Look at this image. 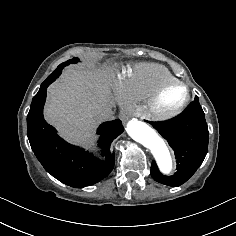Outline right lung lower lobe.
<instances>
[{
    "instance_id": "right-lung-lower-lobe-1",
    "label": "right lung lower lobe",
    "mask_w": 236,
    "mask_h": 236,
    "mask_svg": "<svg viewBox=\"0 0 236 236\" xmlns=\"http://www.w3.org/2000/svg\"><path fill=\"white\" fill-rule=\"evenodd\" d=\"M46 79L34 96L27 116V135L31 148L45 170L62 183L75 188L90 186L104 179L114 167V152H110L113 140L123 132L122 122L116 119L98 128V146L101 160L80 147L68 144L43 118V106L47 87L55 80Z\"/></svg>"
}]
</instances>
